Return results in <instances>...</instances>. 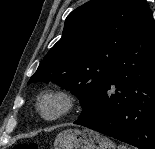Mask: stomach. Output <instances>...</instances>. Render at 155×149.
Wrapping results in <instances>:
<instances>
[{
  "mask_svg": "<svg viewBox=\"0 0 155 149\" xmlns=\"http://www.w3.org/2000/svg\"><path fill=\"white\" fill-rule=\"evenodd\" d=\"M54 149H116L109 138L90 129H65L55 139Z\"/></svg>",
  "mask_w": 155,
  "mask_h": 149,
  "instance_id": "0dacf381",
  "label": "stomach"
}]
</instances>
